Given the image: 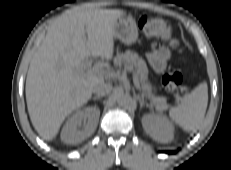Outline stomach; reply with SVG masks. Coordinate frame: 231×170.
<instances>
[{
	"label": "stomach",
	"mask_w": 231,
	"mask_h": 170,
	"mask_svg": "<svg viewBox=\"0 0 231 170\" xmlns=\"http://www.w3.org/2000/svg\"><path fill=\"white\" fill-rule=\"evenodd\" d=\"M114 37L126 45H132L137 41L138 29L131 16H122L116 21Z\"/></svg>",
	"instance_id": "stomach-1"
}]
</instances>
